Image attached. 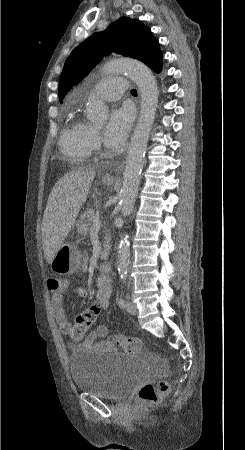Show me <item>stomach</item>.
Listing matches in <instances>:
<instances>
[{
	"label": "stomach",
	"instance_id": "obj_1",
	"mask_svg": "<svg viewBox=\"0 0 245 450\" xmlns=\"http://www.w3.org/2000/svg\"><path fill=\"white\" fill-rule=\"evenodd\" d=\"M110 185L111 182H106ZM81 264V253L79 249L70 243H64L56 252L51 262V269L60 275L70 274L79 268Z\"/></svg>",
	"mask_w": 245,
	"mask_h": 450
}]
</instances>
